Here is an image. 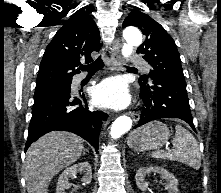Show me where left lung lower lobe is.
<instances>
[{
  "instance_id": "left-lung-lower-lobe-1",
  "label": "left lung lower lobe",
  "mask_w": 221,
  "mask_h": 193,
  "mask_svg": "<svg viewBox=\"0 0 221 193\" xmlns=\"http://www.w3.org/2000/svg\"><path fill=\"white\" fill-rule=\"evenodd\" d=\"M143 108L134 128L161 118H179L196 132L184 78L153 75L150 84L140 85Z\"/></svg>"
}]
</instances>
